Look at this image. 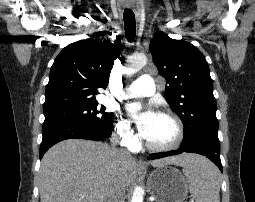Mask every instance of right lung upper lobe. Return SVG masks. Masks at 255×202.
<instances>
[{"label":"right lung upper lobe","mask_w":255,"mask_h":202,"mask_svg":"<svg viewBox=\"0 0 255 202\" xmlns=\"http://www.w3.org/2000/svg\"><path fill=\"white\" fill-rule=\"evenodd\" d=\"M111 35L102 31L91 39L66 46L56 57L45 92L44 114L59 109L96 102L98 87L106 88L114 60L119 58L121 42L94 39Z\"/></svg>","instance_id":"cb5924a9"}]
</instances>
